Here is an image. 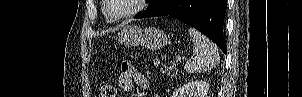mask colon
I'll list each match as a JSON object with an SVG mask.
<instances>
[{"label": "colon", "mask_w": 302, "mask_h": 97, "mask_svg": "<svg viewBox=\"0 0 302 97\" xmlns=\"http://www.w3.org/2000/svg\"><path fill=\"white\" fill-rule=\"evenodd\" d=\"M158 65L161 66L164 72L169 74L175 73V69L171 66L162 65L159 62ZM100 97H115V88L112 85H103L100 88Z\"/></svg>", "instance_id": "5ec220e1"}]
</instances>
